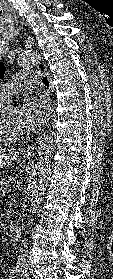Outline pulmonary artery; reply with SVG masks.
I'll use <instances>...</instances> for the list:
<instances>
[{
  "instance_id": "obj_1",
  "label": "pulmonary artery",
  "mask_w": 113,
  "mask_h": 279,
  "mask_svg": "<svg viewBox=\"0 0 113 279\" xmlns=\"http://www.w3.org/2000/svg\"><path fill=\"white\" fill-rule=\"evenodd\" d=\"M35 77L29 73H18L15 78L0 87V93L5 97H11L20 89H29Z\"/></svg>"
}]
</instances>
